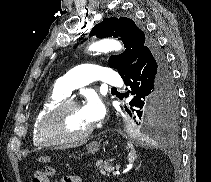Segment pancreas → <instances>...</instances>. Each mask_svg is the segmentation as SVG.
Returning <instances> with one entry per match:
<instances>
[{"label":"pancreas","mask_w":211,"mask_h":182,"mask_svg":"<svg viewBox=\"0 0 211 182\" xmlns=\"http://www.w3.org/2000/svg\"><path fill=\"white\" fill-rule=\"evenodd\" d=\"M112 160H107L103 162L102 160L97 161L96 166L98 169H100L101 174L109 176L111 171L113 170V167L111 165Z\"/></svg>","instance_id":"obj_1"}]
</instances>
